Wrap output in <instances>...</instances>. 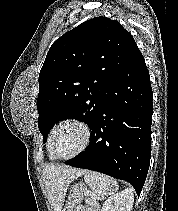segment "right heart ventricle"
Here are the masks:
<instances>
[{
  "mask_svg": "<svg viewBox=\"0 0 178 211\" xmlns=\"http://www.w3.org/2000/svg\"><path fill=\"white\" fill-rule=\"evenodd\" d=\"M56 127H57V126H54V127L51 129V132H50V134H49L48 141H47L48 155H49V158H50V159H55V157H54V155H53V153H52V151H51V139H52V134H53V132H54V130H55Z\"/></svg>",
  "mask_w": 178,
  "mask_h": 211,
  "instance_id": "1",
  "label": "right heart ventricle"
}]
</instances>
